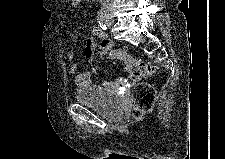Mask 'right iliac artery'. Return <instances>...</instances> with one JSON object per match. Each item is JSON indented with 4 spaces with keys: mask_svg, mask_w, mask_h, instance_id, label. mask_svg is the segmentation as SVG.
Here are the masks:
<instances>
[{
    "mask_svg": "<svg viewBox=\"0 0 225 159\" xmlns=\"http://www.w3.org/2000/svg\"><path fill=\"white\" fill-rule=\"evenodd\" d=\"M97 20H98V23L100 25V27L103 29V30H107V23H106V14H105V11L103 9H101L98 14H97Z\"/></svg>",
    "mask_w": 225,
    "mask_h": 159,
    "instance_id": "1",
    "label": "right iliac artery"
}]
</instances>
